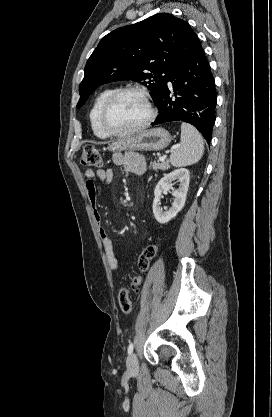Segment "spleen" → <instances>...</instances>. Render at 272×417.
I'll return each instance as SVG.
<instances>
[{"label": "spleen", "mask_w": 272, "mask_h": 417, "mask_svg": "<svg viewBox=\"0 0 272 417\" xmlns=\"http://www.w3.org/2000/svg\"><path fill=\"white\" fill-rule=\"evenodd\" d=\"M180 140V147L170 155V163L174 167L197 163L204 153V141L199 131L188 123H182Z\"/></svg>", "instance_id": "1"}]
</instances>
